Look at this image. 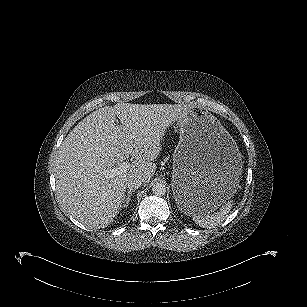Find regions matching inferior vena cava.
<instances>
[{
  "instance_id": "obj_1",
  "label": "inferior vena cava",
  "mask_w": 307,
  "mask_h": 307,
  "mask_svg": "<svg viewBox=\"0 0 307 307\" xmlns=\"http://www.w3.org/2000/svg\"><path fill=\"white\" fill-rule=\"evenodd\" d=\"M142 184H143V180L141 178L133 177L127 181L126 185L130 190H134V189L140 188Z\"/></svg>"
}]
</instances>
